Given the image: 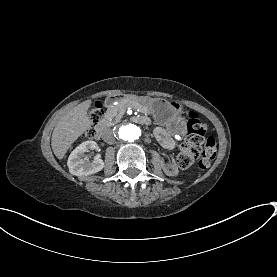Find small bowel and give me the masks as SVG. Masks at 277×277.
I'll use <instances>...</instances> for the list:
<instances>
[{"mask_svg":"<svg viewBox=\"0 0 277 277\" xmlns=\"http://www.w3.org/2000/svg\"><path fill=\"white\" fill-rule=\"evenodd\" d=\"M184 134H185V129L183 127H179L176 131V137L180 138ZM155 135L164 148L173 149L175 147L174 137L171 136L165 129L157 128L155 130Z\"/></svg>","mask_w":277,"mask_h":277,"instance_id":"obj_1","label":"small bowel"}]
</instances>
